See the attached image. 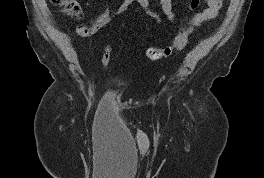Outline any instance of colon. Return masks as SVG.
Segmentation results:
<instances>
[{
	"label": "colon",
	"mask_w": 264,
	"mask_h": 178,
	"mask_svg": "<svg viewBox=\"0 0 264 178\" xmlns=\"http://www.w3.org/2000/svg\"><path fill=\"white\" fill-rule=\"evenodd\" d=\"M52 4L62 8L65 13L71 16H78L81 12L79 3L76 0H50ZM200 0H191L190 10L194 11L198 8ZM191 31L189 28H181L174 36L173 40L165 47L156 48L148 47L145 51L147 58L150 60H159L166 58L172 54L175 50L183 49L190 38ZM112 49L110 46H105L102 51V62L108 64L111 60Z\"/></svg>",
	"instance_id": "colon-1"
}]
</instances>
